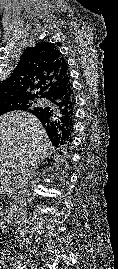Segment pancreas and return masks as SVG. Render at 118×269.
Masks as SVG:
<instances>
[{"mask_svg":"<svg viewBox=\"0 0 118 269\" xmlns=\"http://www.w3.org/2000/svg\"><path fill=\"white\" fill-rule=\"evenodd\" d=\"M9 189V183L6 179L0 180V191H7Z\"/></svg>","mask_w":118,"mask_h":269,"instance_id":"obj_1","label":"pancreas"}]
</instances>
